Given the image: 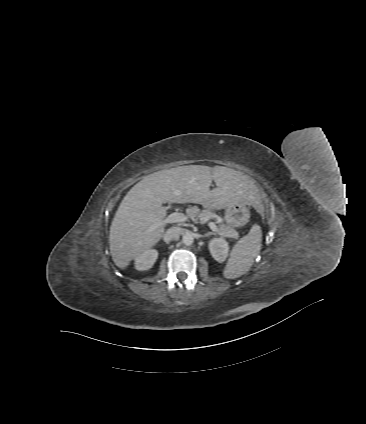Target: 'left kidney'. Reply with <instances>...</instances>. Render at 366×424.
I'll return each instance as SVG.
<instances>
[{"label": "left kidney", "instance_id": "1", "mask_svg": "<svg viewBox=\"0 0 366 424\" xmlns=\"http://www.w3.org/2000/svg\"><path fill=\"white\" fill-rule=\"evenodd\" d=\"M209 249L212 257L218 262H224L228 256L229 245L223 238H213L209 242Z\"/></svg>", "mask_w": 366, "mask_h": 424}]
</instances>
